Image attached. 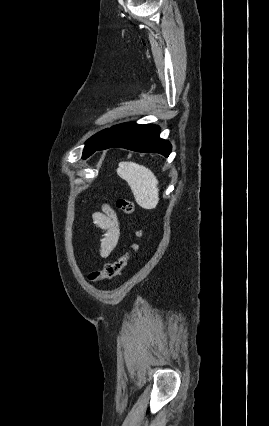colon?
Listing matches in <instances>:
<instances>
[{
	"instance_id": "5ec220e1",
	"label": "colon",
	"mask_w": 269,
	"mask_h": 426,
	"mask_svg": "<svg viewBox=\"0 0 269 426\" xmlns=\"http://www.w3.org/2000/svg\"><path fill=\"white\" fill-rule=\"evenodd\" d=\"M116 206L126 216L132 215L135 211L133 202L125 198H119L116 201ZM134 234L136 237H140L142 232L141 230H136ZM136 250L137 244L132 243L130 250L122 254L114 262L106 263L102 270L91 272L88 275V279L93 283H98L101 281L111 280L115 278L128 265L133 252H135Z\"/></svg>"
}]
</instances>
